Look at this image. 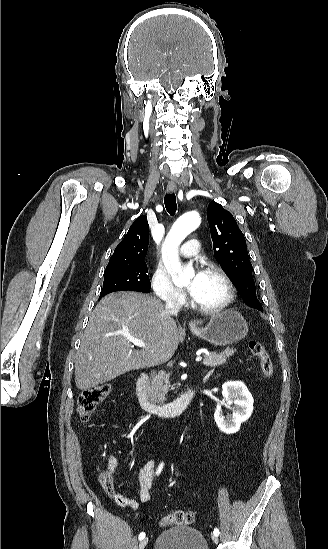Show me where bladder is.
<instances>
[{"label":"bladder","instance_id":"bladder-1","mask_svg":"<svg viewBox=\"0 0 328 549\" xmlns=\"http://www.w3.org/2000/svg\"><path fill=\"white\" fill-rule=\"evenodd\" d=\"M155 549H208L205 537L197 528L176 526L162 531L155 541Z\"/></svg>","mask_w":328,"mask_h":549}]
</instances>
